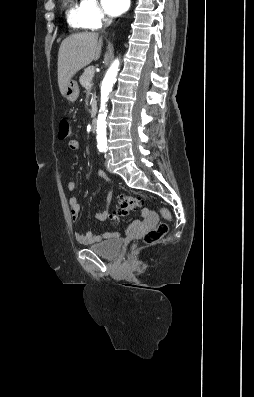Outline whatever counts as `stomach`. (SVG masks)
I'll list each match as a JSON object with an SVG mask.
<instances>
[{
	"label": "stomach",
	"instance_id": "obj_1",
	"mask_svg": "<svg viewBox=\"0 0 254 397\" xmlns=\"http://www.w3.org/2000/svg\"><path fill=\"white\" fill-rule=\"evenodd\" d=\"M79 93H80V90H79V85H78L77 81L70 80L65 87L63 97L68 102L73 103L79 97Z\"/></svg>",
	"mask_w": 254,
	"mask_h": 397
}]
</instances>
